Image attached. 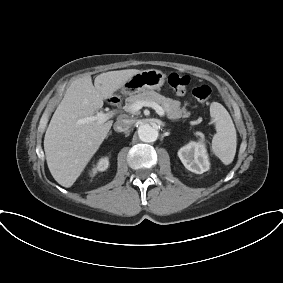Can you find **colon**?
<instances>
[{"mask_svg":"<svg viewBox=\"0 0 283 283\" xmlns=\"http://www.w3.org/2000/svg\"><path fill=\"white\" fill-rule=\"evenodd\" d=\"M191 79L187 75L178 73H171L168 76V84L177 94H184L189 85ZM193 96L203 104L208 103L212 95V89L207 84H200L192 89Z\"/></svg>","mask_w":283,"mask_h":283,"instance_id":"colon-1","label":"colon"}]
</instances>
